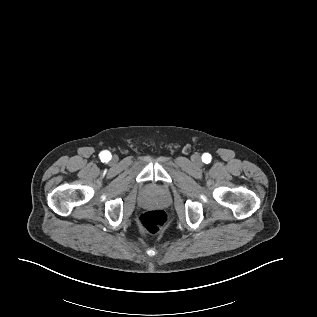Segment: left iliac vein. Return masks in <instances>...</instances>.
<instances>
[{"label":"left iliac vein","mask_w":317,"mask_h":317,"mask_svg":"<svg viewBox=\"0 0 317 317\" xmlns=\"http://www.w3.org/2000/svg\"><path fill=\"white\" fill-rule=\"evenodd\" d=\"M193 160H194L195 163L198 164V163L200 162V156L197 155V154H195V155L193 156Z\"/></svg>","instance_id":"obj_1"}]
</instances>
